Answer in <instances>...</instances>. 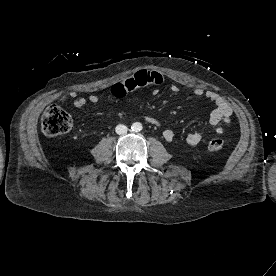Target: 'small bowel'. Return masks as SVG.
<instances>
[{
    "label": "small bowel",
    "mask_w": 276,
    "mask_h": 276,
    "mask_svg": "<svg viewBox=\"0 0 276 276\" xmlns=\"http://www.w3.org/2000/svg\"><path fill=\"white\" fill-rule=\"evenodd\" d=\"M164 84L165 78L160 72L155 70H140L126 81L116 84L111 89V95L116 98H122L129 92L136 89L147 86L159 87ZM170 89L175 93L179 92L180 90L176 84H170ZM192 93L195 96H205L214 103L215 109L210 114L209 123L217 135L224 134L226 130L232 125V108L228 101L220 94L211 90H205L201 87H194L192 89ZM59 101H71L74 107L80 108L88 102L97 103L99 98L95 94H91L87 98L78 97L76 92L71 91L66 95L61 96ZM144 120L157 127H161L162 125L161 121L153 116H144ZM163 137L166 141L171 142L174 139V132L171 129H166L163 132ZM201 140L202 135L199 133H190L185 138L186 143L191 146L199 144Z\"/></svg>",
    "instance_id": "small-bowel-1"
}]
</instances>
